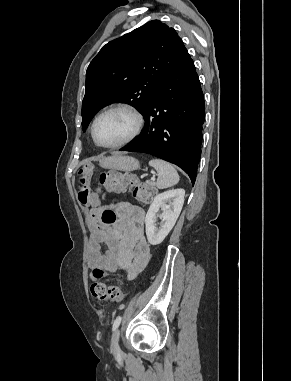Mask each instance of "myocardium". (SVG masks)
I'll list each match as a JSON object with an SVG mask.
<instances>
[{"mask_svg": "<svg viewBox=\"0 0 291 381\" xmlns=\"http://www.w3.org/2000/svg\"><path fill=\"white\" fill-rule=\"evenodd\" d=\"M117 110L127 111L134 116L135 121H136L134 130L132 131V133L128 137H126L125 139H123L117 143L103 144L98 140L97 135H96L97 122L104 115H106L110 112H113V111H117ZM143 127H144V117H143L142 113L135 106H133L131 104L120 103V104H116L114 106H111V107L107 108L106 110L102 111L100 114H98L92 123L91 132H92L93 140L95 141V143L98 146L103 147V148H117V147L124 146V145L132 142L134 139H136L140 135Z\"/></svg>", "mask_w": 291, "mask_h": 381, "instance_id": "1", "label": "myocardium"}]
</instances>
